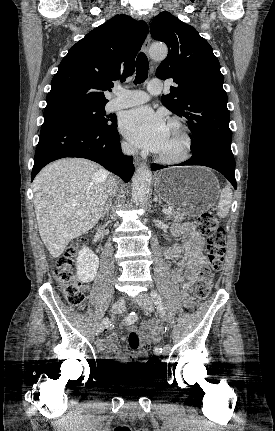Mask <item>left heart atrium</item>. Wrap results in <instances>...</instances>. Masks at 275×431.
Wrapping results in <instances>:
<instances>
[{
	"mask_svg": "<svg viewBox=\"0 0 275 431\" xmlns=\"http://www.w3.org/2000/svg\"><path fill=\"white\" fill-rule=\"evenodd\" d=\"M121 130L136 147L159 152L166 137L164 117L149 107H139L124 114Z\"/></svg>",
	"mask_w": 275,
	"mask_h": 431,
	"instance_id": "obj_1",
	"label": "left heart atrium"
}]
</instances>
